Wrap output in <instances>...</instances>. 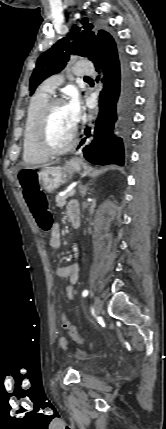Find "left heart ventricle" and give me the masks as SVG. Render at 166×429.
Wrapping results in <instances>:
<instances>
[{"instance_id": "1", "label": "left heart ventricle", "mask_w": 166, "mask_h": 429, "mask_svg": "<svg viewBox=\"0 0 166 429\" xmlns=\"http://www.w3.org/2000/svg\"><path fill=\"white\" fill-rule=\"evenodd\" d=\"M75 123L66 103L57 105L51 112L47 124V141L53 147H62L70 139Z\"/></svg>"}]
</instances>
